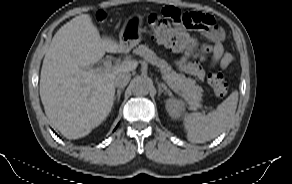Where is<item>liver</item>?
Wrapping results in <instances>:
<instances>
[{
  "label": "liver",
  "mask_w": 292,
  "mask_h": 184,
  "mask_svg": "<svg viewBox=\"0 0 292 184\" xmlns=\"http://www.w3.org/2000/svg\"><path fill=\"white\" fill-rule=\"evenodd\" d=\"M130 48L110 37L101 38L89 14L73 18L54 35L40 76V97L51 124L68 139L88 135L111 112L114 78L136 69L135 60L110 70L90 72L106 52L127 53Z\"/></svg>",
  "instance_id": "obj_1"
}]
</instances>
